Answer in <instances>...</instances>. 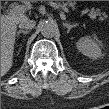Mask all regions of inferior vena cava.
Masks as SVG:
<instances>
[{
	"label": "inferior vena cava",
	"instance_id": "obj_1",
	"mask_svg": "<svg viewBox=\"0 0 109 109\" xmlns=\"http://www.w3.org/2000/svg\"><path fill=\"white\" fill-rule=\"evenodd\" d=\"M35 27V21L30 19H24L19 23V28L22 29H32Z\"/></svg>",
	"mask_w": 109,
	"mask_h": 109
}]
</instances>
